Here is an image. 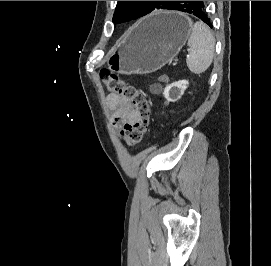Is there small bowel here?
Masks as SVG:
<instances>
[{"instance_id": "1", "label": "small bowel", "mask_w": 271, "mask_h": 266, "mask_svg": "<svg viewBox=\"0 0 271 266\" xmlns=\"http://www.w3.org/2000/svg\"><path fill=\"white\" fill-rule=\"evenodd\" d=\"M107 104L114 110L112 120L115 126H123L126 123H132L137 120L136 111L126 99L111 94L107 97Z\"/></svg>"}]
</instances>
